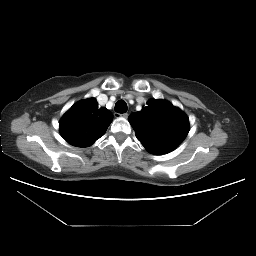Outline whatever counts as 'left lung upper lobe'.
<instances>
[{
	"mask_svg": "<svg viewBox=\"0 0 256 256\" xmlns=\"http://www.w3.org/2000/svg\"><path fill=\"white\" fill-rule=\"evenodd\" d=\"M147 105L128 118L137 139L152 154L174 150L188 134L187 116L164 100L150 99Z\"/></svg>",
	"mask_w": 256,
	"mask_h": 256,
	"instance_id": "obj_1",
	"label": "left lung upper lobe"
}]
</instances>
